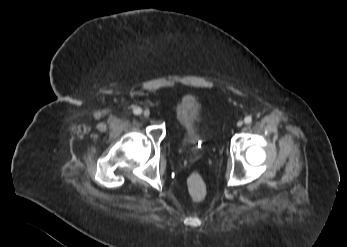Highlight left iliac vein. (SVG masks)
<instances>
[{
	"label": "left iliac vein",
	"mask_w": 347,
	"mask_h": 247,
	"mask_svg": "<svg viewBox=\"0 0 347 247\" xmlns=\"http://www.w3.org/2000/svg\"><path fill=\"white\" fill-rule=\"evenodd\" d=\"M242 125H243V121L240 120V121L237 122V126L238 127H241Z\"/></svg>",
	"instance_id": "1"
}]
</instances>
